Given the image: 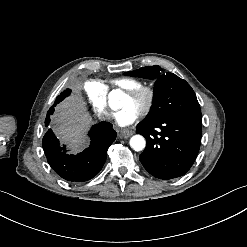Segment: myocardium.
<instances>
[{
	"instance_id": "f54148a6",
	"label": "myocardium",
	"mask_w": 247,
	"mask_h": 247,
	"mask_svg": "<svg viewBox=\"0 0 247 247\" xmlns=\"http://www.w3.org/2000/svg\"><path fill=\"white\" fill-rule=\"evenodd\" d=\"M129 96L133 100H139L140 98L145 99L144 106L142 107V112L144 114L150 113L153 108L154 100H155V93L153 89L149 87H139L129 93Z\"/></svg>"
}]
</instances>
